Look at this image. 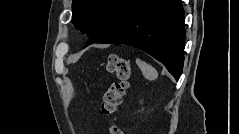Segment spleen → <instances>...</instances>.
Masks as SVG:
<instances>
[{
    "label": "spleen",
    "mask_w": 239,
    "mask_h": 134,
    "mask_svg": "<svg viewBox=\"0 0 239 134\" xmlns=\"http://www.w3.org/2000/svg\"><path fill=\"white\" fill-rule=\"evenodd\" d=\"M136 63L139 66L140 70L142 71L143 76L147 80L153 81L158 77L157 71L151 65H149L146 62L140 60L139 58L136 59Z\"/></svg>",
    "instance_id": "3e777b00"
}]
</instances>
